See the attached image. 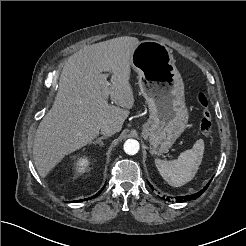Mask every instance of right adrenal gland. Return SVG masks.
<instances>
[{
	"instance_id": "1",
	"label": "right adrenal gland",
	"mask_w": 246,
	"mask_h": 246,
	"mask_svg": "<svg viewBox=\"0 0 246 246\" xmlns=\"http://www.w3.org/2000/svg\"><path fill=\"white\" fill-rule=\"evenodd\" d=\"M107 138H108L107 136H102V137L97 138L95 141H92L91 143L99 144L102 147L104 145L102 140L107 139Z\"/></svg>"
}]
</instances>
